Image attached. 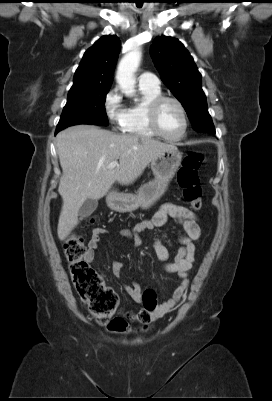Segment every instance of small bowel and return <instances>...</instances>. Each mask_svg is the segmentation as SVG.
<instances>
[{"instance_id":"obj_1","label":"small bowel","mask_w":272,"mask_h":401,"mask_svg":"<svg viewBox=\"0 0 272 401\" xmlns=\"http://www.w3.org/2000/svg\"><path fill=\"white\" fill-rule=\"evenodd\" d=\"M169 219L179 224L183 229V233L177 237L179 247L173 260L169 261V250L163 240L157 239L153 244V249L157 258L164 263L165 270L177 275L180 285L174 290L169 299L161 303L154 310L148 311L142 309L138 312H130L122 317L113 319L109 324V329L115 334H130L132 329L128 322L140 324L141 328L139 330H145L151 321L169 313L185 296L189 283V271L195 261V244L201 238V227L195 213L182 205L165 203L155 212L152 218L140 221L130 227L121 228L119 235L127 239L132 246L136 247L141 244V233L161 228L167 224ZM105 233H107V230L104 228L98 227L93 229L88 242V249L85 253V260L87 262L94 260L101 236ZM122 268L123 263L121 261L115 262L112 267L113 274L119 277ZM124 289L134 302L140 303L142 301V291L137 283L124 285Z\"/></svg>"}]
</instances>
